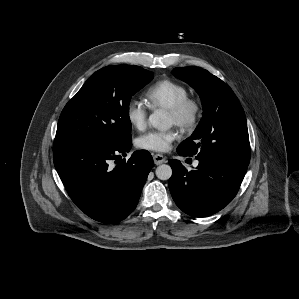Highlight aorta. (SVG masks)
Returning <instances> with one entry per match:
<instances>
[{
  "mask_svg": "<svg viewBox=\"0 0 299 299\" xmlns=\"http://www.w3.org/2000/svg\"><path fill=\"white\" fill-rule=\"evenodd\" d=\"M149 123L160 131H166L171 127V121L167 114L162 110H156L149 116ZM156 176L160 180H168L172 176V168L162 164L156 168Z\"/></svg>",
  "mask_w": 299,
  "mask_h": 299,
  "instance_id": "1",
  "label": "aorta"
}]
</instances>
